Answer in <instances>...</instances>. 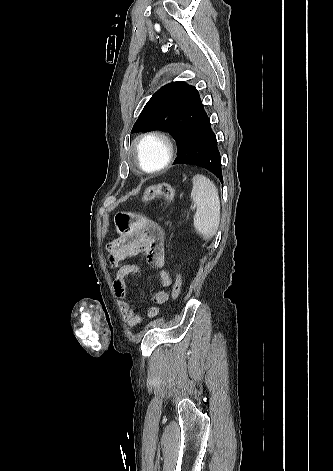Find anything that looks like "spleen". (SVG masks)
<instances>
[{"instance_id":"obj_1","label":"spleen","mask_w":333,"mask_h":471,"mask_svg":"<svg viewBox=\"0 0 333 471\" xmlns=\"http://www.w3.org/2000/svg\"><path fill=\"white\" fill-rule=\"evenodd\" d=\"M191 198L197 206L194 227L205 239H211L220 223V200L215 184L204 175L197 174L192 179Z\"/></svg>"}]
</instances>
